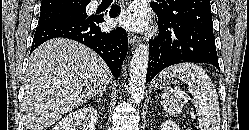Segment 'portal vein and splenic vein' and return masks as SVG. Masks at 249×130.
<instances>
[{
  "instance_id": "obj_1",
  "label": "portal vein and splenic vein",
  "mask_w": 249,
  "mask_h": 130,
  "mask_svg": "<svg viewBox=\"0 0 249 130\" xmlns=\"http://www.w3.org/2000/svg\"><path fill=\"white\" fill-rule=\"evenodd\" d=\"M188 100H189L188 98H185V99H184V102H185V103H187V102H188ZM191 114L193 115L194 113H193V112H191Z\"/></svg>"
}]
</instances>
